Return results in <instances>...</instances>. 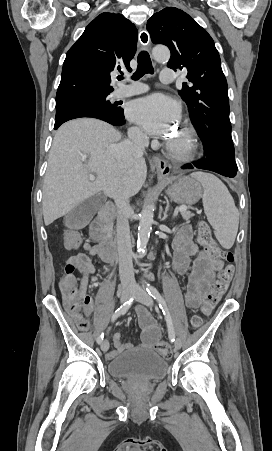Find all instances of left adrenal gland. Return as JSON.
<instances>
[{"label":"left adrenal gland","instance_id":"1","mask_svg":"<svg viewBox=\"0 0 272 451\" xmlns=\"http://www.w3.org/2000/svg\"><path fill=\"white\" fill-rule=\"evenodd\" d=\"M168 208H169V206H167V208H165V212H164V218H163V220H166V218H167V212H168Z\"/></svg>","mask_w":272,"mask_h":451}]
</instances>
